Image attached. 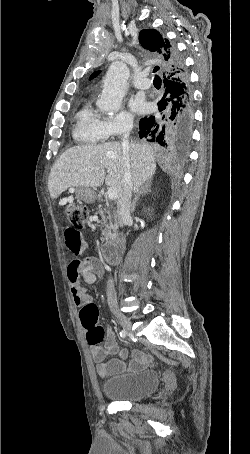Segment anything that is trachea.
Returning <instances> with one entry per match:
<instances>
[{
  "instance_id": "trachea-1",
  "label": "trachea",
  "mask_w": 250,
  "mask_h": 454,
  "mask_svg": "<svg viewBox=\"0 0 250 454\" xmlns=\"http://www.w3.org/2000/svg\"><path fill=\"white\" fill-rule=\"evenodd\" d=\"M159 70V66H156L153 70V73H156ZM161 81V78L158 75L154 77V83Z\"/></svg>"
}]
</instances>
